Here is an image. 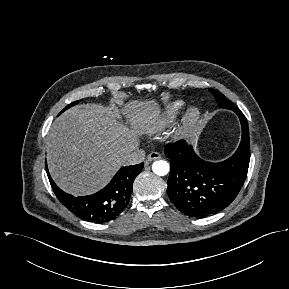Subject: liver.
Listing matches in <instances>:
<instances>
[{"label": "liver", "instance_id": "1", "mask_svg": "<svg viewBox=\"0 0 289 289\" xmlns=\"http://www.w3.org/2000/svg\"><path fill=\"white\" fill-rule=\"evenodd\" d=\"M133 124L150 131L160 121L154 100L132 101L121 109ZM115 108L75 106L52 124L47 135V162L55 183L74 196L103 188L121 166L124 156L139 146L138 134L119 121Z\"/></svg>", "mask_w": 289, "mask_h": 289}]
</instances>
